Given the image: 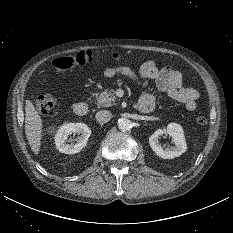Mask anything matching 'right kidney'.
Here are the masks:
<instances>
[{"mask_svg": "<svg viewBox=\"0 0 233 233\" xmlns=\"http://www.w3.org/2000/svg\"><path fill=\"white\" fill-rule=\"evenodd\" d=\"M79 134L75 144L69 138L71 134ZM91 135V130L84 123H67L59 127L55 134V144L57 149L65 154H76L82 150L87 144L88 138Z\"/></svg>", "mask_w": 233, "mask_h": 233, "instance_id": "obj_1", "label": "right kidney"}]
</instances>
